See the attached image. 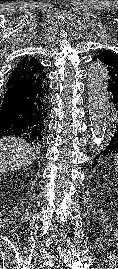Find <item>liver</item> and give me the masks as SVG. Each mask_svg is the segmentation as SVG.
I'll return each mask as SVG.
<instances>
[{"instance_id":"1","label":"liver","mask_w":118,"mask_h":269,"mask_svg":"<svg viewBox=\"0 0 118 269\" xmlns=\"http://www.w3.org/2000/svg\"><path fill=\"white\" fill-rule=\"evenodd\" d=\"M35 160V152L29 143L15 136L0 140V173L29 166Z\"/></svg>"}]
</instances>
